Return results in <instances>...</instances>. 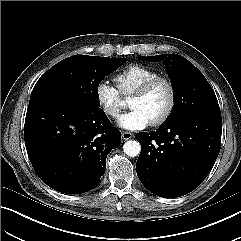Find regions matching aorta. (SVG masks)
<instances>
[{"mask_svg":"<svg viewBox=\"0 0 241 241\" xmlns=\"http://www.w3.org/2000/svg\"><path fill=\"white\" fill-rule=\"evenodd\" d=\"M123 151L129 157H136L139 155V153L141 151L140 143L136 140H129L124 143Z\"/></svg>","mask_w":241,"mask_h":241,"instance_id":"762f6f07","label":"aorta"}]
</instances>
